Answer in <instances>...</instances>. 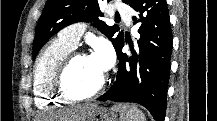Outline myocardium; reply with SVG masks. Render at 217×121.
<instances>
[{"mask_svg": "<svg viewBox=\"0 0 217 121\" xmlns=\"http://www.w3.org/2000/svg\"><path fill=\"white\" fill-rule=\"evenodd\" d=\"M83 57H90V56L85 52L72 51L66 56V58L57 67L51 84H52V90L54 92V95L59 100L65 102H72V103H85L95 99L96 97H98L100 94L104 92L108 80L106 74H104L99 86L90 94L84 96H74L69 93L65 82L66 75L69 69L74 64V62L78 58H83Z\"/></svg>", "mask_w": 217, "mask_h": 121, "instance_id": "obj_1", "label": "myocardium"}]
</instances>
